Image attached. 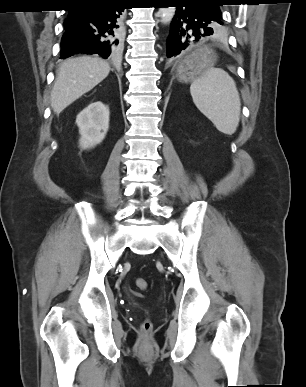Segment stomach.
Segmentation results:
<instances>
[{
	"mask_svg": "<svg viewBox=\"0 0 306 387\" xmlns=\"http://www.w3.org/2000/svg\"><path fill=\"white\" fill-rule=\"evenodd\" d=\"M214 60L213 53L208 47L197 49L193 56L188 57L177 68V76L180 82L193 81L204 69L208 68Z\"/></svg>",
	"mask_w": 306,
	"mask_h": 387,
	"instance_id": "stomach-1",
	"label": "stomach"
}]
</instances>
